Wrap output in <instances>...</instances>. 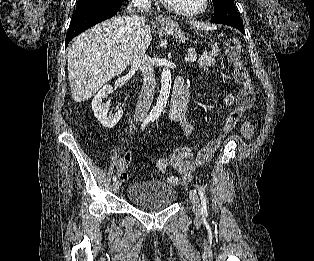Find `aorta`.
<instances>
[{
  "label": "aorta",
  "instance_id": "obj_1",
  "mask_svg": "<svg viewBox=\"0 0 314 261\" xmlns=\"http://www.w3.org/2000/svg\"><path fill=\"white\" fill-rule=\"evenodd\" d=\"M171 88V72L169 67H164L161 73V91L156 105L151 110L150 116L158 118L166 107Z\"/></svg>",
  "mask_w": 314,
  "mask_h": 261
}]
</instances>
